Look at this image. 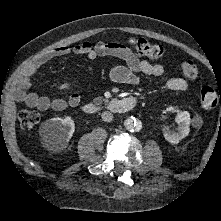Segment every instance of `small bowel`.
Instances as JSON below:
<instances>
[{
	"mask_svg": "<svg viewBox=\"0 0 221 221\" xmlns=\"http://www.w3.org/2000/svg\"><path fill=\"white\" fill-rule=\"evenodd\" d=\"M70 55L82 56L89 60H93L98 56H115L122 59L126 65L116 66L110 71L111 80L120 84H137L139 82V74L154 77H161L164 74L162 65L140 59L127 47L118 43L97 41L83 42L74 46L64 45L44 52L23 69L16 81L17 99L27 106L41 111L49 109L62 111L68 106L77 107L80 104L81 97L76 92H72L65 99L62 97L49 98L27 91L33 76L43 65L53 59ZM58 88L68 91L71 89V84L69 81H63L58 85ZM166 88L170 91L183 92L187 90L188 83L180 77H172L166 82Z\"/></svg>",
	"mask_w": 221,
	"mask_h": 221,
	"instance_id": "c3829d8e",
	"label": "small bowel"
}]
</instances>
